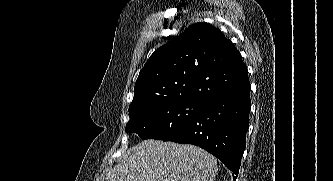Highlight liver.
I'll list each match as a JSON object with an SVG mask.
<instances>
[{
	"mask_svg": "<svg viewBox=\"0 0 333 181\" xmlns=\"http://www.w3.org/2000/svg\"><path fill=\"white\" fill-rule=\"evenodd\" d=\"M217 158L200 147L145 140L123 155L102 181H214Z\"/></svg>",
	"mask_w": 333,
	"mask_h": 181,
	"instance_id": "6515ba94",
	"label": "liver"
}]
</instances>
